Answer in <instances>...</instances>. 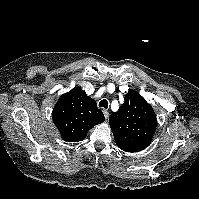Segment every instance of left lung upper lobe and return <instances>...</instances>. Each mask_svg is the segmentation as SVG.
<instances>
[{
  "mask_svg": "<svg viewBox=\"0 0 199 199\" xmlns=\"http://www.w3.org/2000/svg\"><path fill=\"white\" fill-rule=\"evenodd\" d=\"M117 146L126 152H138L152 141L157 120L152 107L136 91L130 90L117 112L109 118Z\"/></svg>",
  "mask_w": 199,
  "mask_h": 199,
  "instance_id": "left-lung-upper-lobe-1",
  "label": "left lung upper lobe"
}]
</instances>
